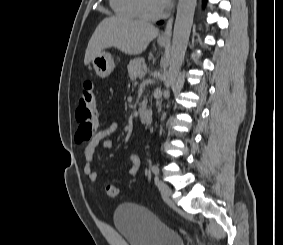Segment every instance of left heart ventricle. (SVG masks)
<instances>
[{"mask_svg":"<svg viewBox=\"0 0 283 245\" xmlns=\"http://www.w3.org/2000/svg\"><path fill=\"white\" fill-rule=\"evenodd\" d=\"M143 3L146 10L149 12H158L164 8L159 0H143Z\"/></svg>","mask_w":283,"mask_h":245,"instance_id":"1","label":"left heart ventricle"}]
</instances>
